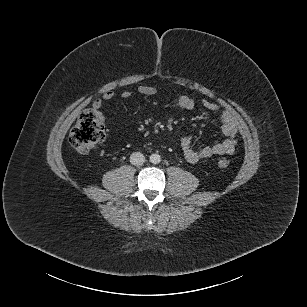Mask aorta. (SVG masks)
I'll return each instance as SVG.
<instances>
[{"label":"aorta","mask_w":307,"mask_h":307,"mask_svg":"<svg viewBox=\"0 0 307 307\" xmlns=\"http://www.w3.org/2000/svg\"><path fill=\"white\" fill-rule=\"evenodd\" d=\"M149 161L152 164H159L161 162V156L158 153H153L150 155Z\"/></svg>","instance_id":"obj_1"}]
</instances>
